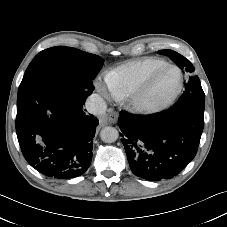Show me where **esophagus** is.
Masks as SVG:
<instances>
[{
    "label": "esophagus",
    "instance_id": "esophagus-1",
    "mask_svg": "<svg viewBox=\"0 0 227 227\" xmlns=\"http://www.w3.org/2000/svg\"><path fill=\"white\" fill-rule=\"evenodd\" d=\"M118 119V112L116 111H111L108 115H107V119L110 123H116ZM104 118L100 120V123H104L106 121Z\"/></svg>",
    "mask_w": 227,
    "mask_h": 227
}]
</instances>
